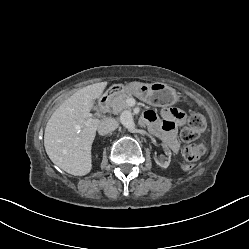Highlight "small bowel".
<instances>
[{
    "label": "small bowel",
    "instance_id": "small-bowel-1",
    "mask_svg": "<svg viewBox=\"0 0 249 249\" xmlns=\"http://www.w3.org/2000/svg\"><path fill=\"white\" fill-rule=\"evenodd\" d=\"M161 116L162 122L158 120L153 110H148L144 114L145 121L151 128L158 132L173 150L177 151L178 143L175 140V129L185 124V113L177 108H168L161 111Z\"/></svg>",
    "mask_w": 249,
    "mask_h": 249
}]
</instances>
